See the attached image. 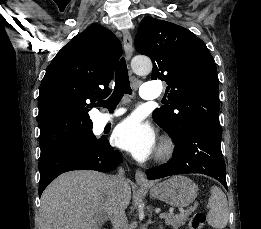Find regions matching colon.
<instances>
[{"label": "colon", "instance_id": "obj_1", "mask_svg": "<svg viewBox=\"0 0 261 229\" xmlns=\"http://www.w3.org/2000/svg\"><path fill=\"white\" fill-rule=\"evenodd\" d=\"M206 223V217L203 213H195L187 221V229H203Z\"/></svg>", "mask_w": 261, "mask_h": 229}]
</instances>
